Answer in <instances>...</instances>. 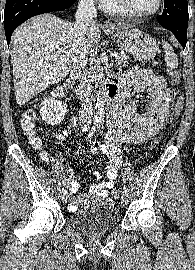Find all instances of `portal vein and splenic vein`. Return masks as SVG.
I'll list each match as a JSON object with an SVG mask.
<instances>
[{"label": "portal vein and splenic vein", "mask_w": 195, "mask_h": 270, "mask_svg": "<svg viewBox=\"0 0 195 270\" xmlns=\"http://www.w3.org/2000/svg\"><path fill=\"white\" fill-rule=\"evenodd\" d=\"M111 56L112 57H118V53H115V52L114 53H111Z\"/></svg>", "instance_id": "1"}]
</instances>
